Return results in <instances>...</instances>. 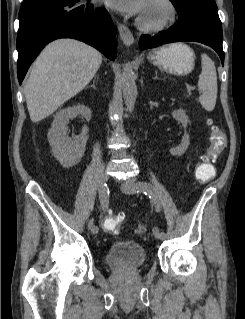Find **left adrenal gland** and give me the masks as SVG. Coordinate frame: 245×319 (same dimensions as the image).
<instances>
[{
    "label": "left adrenal gland",
    "instance_id": "1",
    "mask_svg": "<svg viewBox=\"0 0 245 319\" xmlns=\"http://www.w3.org/2000/svg\"><path fill=\"white\" fill-rule=\"evenodd\" d=\"M153 79H158V80H160V78L158 77V72H157V71H155V77H154Z\"/></svg>",
    "mask_w": 245,
    "mask_h": 319
}]
</instances>
